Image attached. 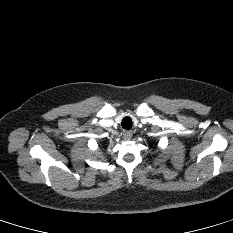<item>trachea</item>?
<instances>
[{"instance_id": "obj_1", "label": "trachea", "mask_w": 233, "mask_h": 233, "mask_svg": "<svg viewBox=\"0 0 233 233\" xmlns=\"http://www.w3.org/2000/svg\"><path fill=\"white\" fill-rule=\"evenodd\" d=\"M122 127L126 130H129L132 128V120L130 117H125L123 120H122Z\"/></svg>"}]
</instances>
